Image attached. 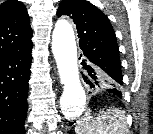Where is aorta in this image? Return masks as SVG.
Wrapping results in <instances>:
<instances>
[{"label": "aorta", "instance_id": "762f6f07", "mask_svg": "<svg viewBox=\"0 0 153 134\" xmlns=\"http://www.w3.org/2000/svg\"><path fill=\"white\" fill-rule=\"evenodd\" d=\"M52 52L63 84L61 110L66 119L74 120L84 111L86 93L79 78L74 31L66 20H59L55 25L52 34Z\"/></svg>", "mask_w": 153, "mask_h": 134}]
</instances>
